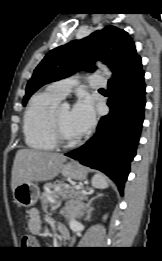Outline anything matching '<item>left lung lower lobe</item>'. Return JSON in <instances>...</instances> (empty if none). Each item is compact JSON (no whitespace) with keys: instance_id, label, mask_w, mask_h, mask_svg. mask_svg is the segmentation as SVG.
<instances>
[{"instance_id":"1","label":"left lung lower lobe","mask_w":162,"mask_h":261,"mask_svg":"<svg viewBox=\"0 0 162 261\" xmlns=\"http://www.w3.org/2000/svg\"><path fill=\"white\" fill-rule=\"evenodd\" d=\"M108 93L110 112L99 120L94 136L65 155L105 173L123 194L144 119L146 91L141 59L109 80Z\"/></svg>"}]
</instances>
